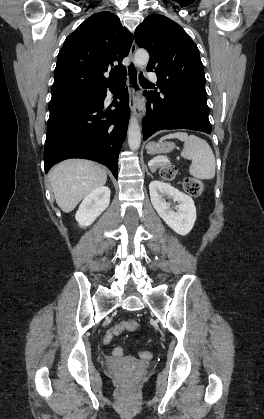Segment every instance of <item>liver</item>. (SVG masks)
I'll use <instances>...</instances> for the list:
<instances>
[{
	"instance_id": "liver-1",
	"label": "liver",
	"mask_w": 264,
	"mask_h": 419,
	"mask_svg": "<svg viewBox=\"0 0 264 419\" xmlns=\"http://www.w3.org/2000/svg\"><path fill=\"white\" fill-rule=\"evenodd\" d=\"M55 200L63 212H71L93 190L102 187L107 174L96 163L84 159L60 162L49 173Z\"/></svg>"
}]
</instances>
